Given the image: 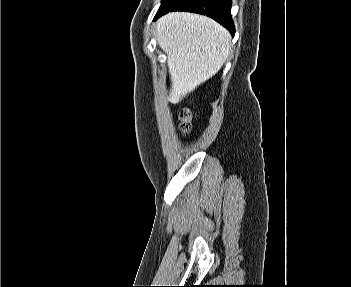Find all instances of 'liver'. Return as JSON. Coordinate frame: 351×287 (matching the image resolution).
<instances>
[{"instance_id":"obj_1","label":"liver","mask_w":351,"mask_h":287,"mask_svg":"<svg viewBox=\"0 0 351 287\" xmlns=\"http://www.w3.org/2000/svg\"><path fill=\"white\" fill-rule=\"evenodd\" d=\"M156 39L167 54L171 79L168 100L179 103L214 76L226 61L231 35L206 16L171 12L156 23Z\"/></svg>"}]
</instances>
